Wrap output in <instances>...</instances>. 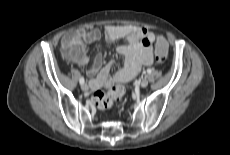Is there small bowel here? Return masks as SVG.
Returning a JSON list of instances; mask_svg holds the SVG:
<instances>
[{"mask_svg": "<svg viewBox=\"0 0 230 155\" xmlns=\"http://www.w3.org/2000/svg\"><path fill=\"white\" fill-rule=\"evenodd\" d=\"M71 34L78 38L80 52L76 55H69L67 58L74 64L83 67L89 63V58L84 52V46L98 41L102 33L97 28L75 30L65 37L64 42ZM104 36L108 42L120 39L127 40L126 43L117 48L118 53L124 57V65L110 77L113 62L104 64L103 56L97 55L87 70V75L92 78L89 82L92 90L112 87L115 84H127L138 75L143 66H148L153 62L152 46L159 36L146 28L130 25H109L105 28Z\"/></svg>", "mask_w": 230, "mask_h": 155, "instance_id": "1", "label": "small bowel"}]
</instances>
